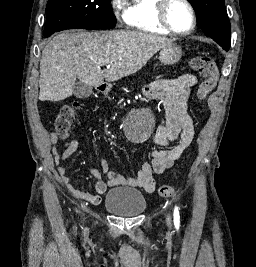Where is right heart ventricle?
Segmentation results:
<instances>
[{
	"instance_id": "1",
	"label": "right heart ventricle",
	"mask_w": 256,
	"mask_h": 267,
	"mask_svg": "<svg viewBox=\"0 0 256 267\" xmlns=\"http://www.w3.org/2000/svg\"><path fill=\"white\" fill-rule=\"evenodd\" d=\"M160 0H137L132 12V25L142 28L143 36H171L157 21Z\"/></svg>"
}]
</instances>
